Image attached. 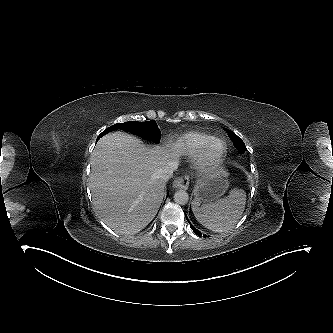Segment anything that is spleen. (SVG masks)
Here are the masks:
<instances>
[{
	"mask_svg": "<svg viewBox=\"0 0 333 333\" xmlns=\"http://www.w3.org/2000/svg\"><path fill=\"white\" fill-rule=\"evenodd\" d=\"M246 202L242 189H233L229 196L215 202L200 203L193 201L192 211L197 221L213 232H227L234 228L241 218Z\"/></svg>",
	"mask_w": 333,
	"mask_h": 333,
	"instance_id": "1",
	"label": "spleen"
}]
</instances>
